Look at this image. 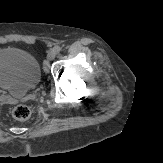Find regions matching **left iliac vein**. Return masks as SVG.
<instances>
[{
    "label": "left iliac vein",
    "instance_id": "1",
    "mask_svg": "<svg viewBox=\"0 0 163 163\" xmlns=\"http://www.w3.org/2000/svg\"><path fill=\"white\" fill-rule=\"evenodd\" d=\"M55 56H56V52H55V50L53 49V50H51V51L48 53V55H47V60H48V61H51V60H53V59L55 58ZM48 61L45 62V68H46V69H47V67H48Z\"/></svg>",
    "mask_w": 163,
    "mask_h": 163
}]
</instances>
